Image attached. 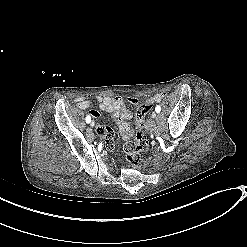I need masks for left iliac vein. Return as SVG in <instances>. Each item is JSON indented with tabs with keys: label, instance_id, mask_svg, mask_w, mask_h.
<instances>
[{
	"label": "left iliac vein",
	"instance_id": "left-iliac-vein-1",
	"mask_svg": "<svg viewBox=\"0 0 247 247\" xmlns=\"http://www.w3.org/2000/svg\"><path fill=\"white\" fill-rule=\"evenodd\" d=\"M157 117V114L155 112H152V118L155 119Z\"/></svg>",
	"mask_w": 247,
	"mask_h": 247
}]
</instances>
